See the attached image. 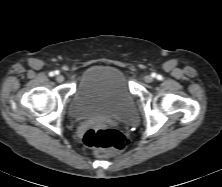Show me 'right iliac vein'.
Returning a JSON list of instances; mask_svg holds the SVG:
<instances>
[{
	"label": "right iliac vein",
	"instance_id": "1",
	"mask_svg": "<svg viewBox=\"0 0 222 187\" xmlns=\"http://www.w3.org/2000/svg\"><path fill=\"white\" fill-rule=\"evenodd\" d=\"M56 80H57V82L61 83V82L64 81V76L61 75V74H58V75L56 76Z\"/></svg>",
	"mask_w": 222,
	"mask_h": 187
}]
</instances>
